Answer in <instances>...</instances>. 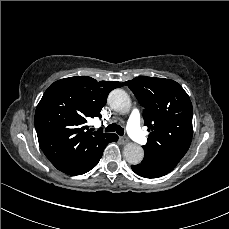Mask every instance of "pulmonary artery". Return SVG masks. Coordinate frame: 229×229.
I'll use <instances>...</instances> for the list:
<instances>
[{
    "instance_id": "e3ab8cb5",
    "label": "pulmonary artery",
    "mask_w": 229,
    "mask_h": 229,
    "mask_svg": "<svg viewBox=\"0 0 229 229\" xmlns=\"http://www.w3.org/2000/svg\"><path fill=\"white\" fill-rule=\"evenodd\" d=\"M121 114H128L129 117L126 123V130L132 137H136L141 132V112L138 108H129L126 111H119Z\"/></svg>"
}]
</instances>
